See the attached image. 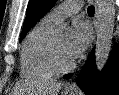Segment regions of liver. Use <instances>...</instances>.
Masks as SVG:
<instances>
[{
  "instance_id": "obj_1",
  "label": "liver",
  "mask_w": 119,
  "mask_h": 95,
  "mask_svg": "<svg viewBox=\"0 0 119 95\" xmlns=\"http://www.w3.org/2000/svg\"><path fill=\"white\" fill-rule=\"evenodd\" d=\"M62 86L61 82L54 79L36 81L32 84L21 83L16 86L14 93H24L25 90L30 95H58Z\"/></svg>"
}]
</instances>
